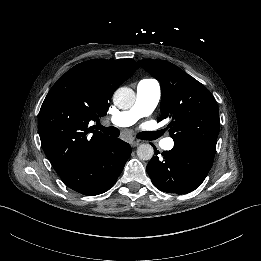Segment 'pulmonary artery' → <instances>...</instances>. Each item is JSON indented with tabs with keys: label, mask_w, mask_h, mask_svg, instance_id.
Instances as JSON below:
<instances>
[{
	"label": "pulmonary artery",
	"mask_w": 261,
	"mask_h": 261,
	"mask_svg": "<svg viewBox=\"0 0 261 261\" xmlns=\"http://www.w3.org/2000/svg\"><path fill=\"white\" fill-rule=\"evenodd\" d=\"M161 98V86L153 79H143L137 84L136 100L129 111L120 112L110 118V121L119 127L130 126L138 118L150 115L157 107ZM158 147L167 151L175 148L171 138L160 137L157 140Z\"/></svg>",
	"instance_id": "obj_1"
}]
</instances>
